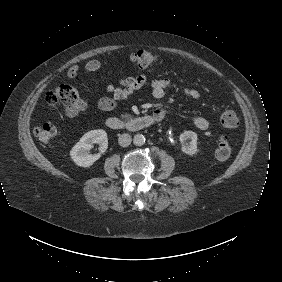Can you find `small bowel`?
I'll use <instances>...</instances> for the list:
<instances>
[{"label": "small bowel", "instance_id": "1", "mask_svg": "<svg viewBox=\"0 0 282 282\" xmlns=\"http://www.w3.org/2000/svg\"><path fill=\"white\" fill-rule=\"evenodd\" d=\"M101 68V62L96 59L89 60L85 66L84 71L86 73H93ZM79 67L73 65L69 68L67 75L69 78H75L78 75ZM170 80L167 78L152 79L147 75L129 76L122 79L117 84H110L107 87L109 96L100 98L96 106L103 111H110L116 108V106L129 97H131L135 91L142 87H149L152 96L156 100L164 99L166 90L170 86ZM182 95L190 98L194 101H198L201 97L200 92L193 88H185L182 90ZM89 107L88 102L79 100L73 105L66 108V114L69 117H75L79 113L84 112ZM153 114L162 116V120L165 116V111L162 107H158ZM190 122L200 130H206L209 128V121L202 116H191Z\"/></svg>", "mask_w": 282, "mask_h": 282}]
</instances>
